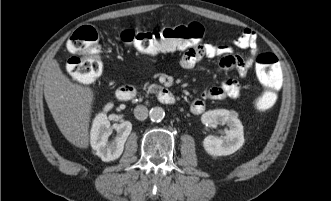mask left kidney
I'll return each instance as SVG.
<instances>
[{
  "label": "left kidney",
  "mask_w": 331,
  "mask_h": 201,
  "mask_svg": "<svg viewBox=\"0 0 331 201\" xmlns=\"http://www.w3.org/2000/svg\"><path fill=\"white\" fill-rule=\"evenodd\" d=\"M201 120L203 124L212 128L217 127L218 124L228 126L224 138L209 135L203 140V147L209 155H230L243 146V125L235 114L226 109H215L205 112Z\"/></svg>",
  "instance_id": "left-kidney-1"
}]
</instances>
